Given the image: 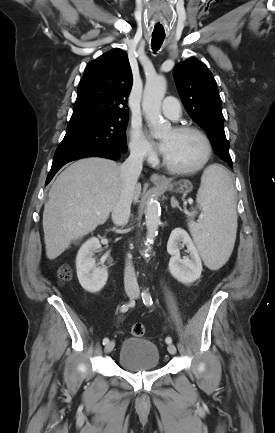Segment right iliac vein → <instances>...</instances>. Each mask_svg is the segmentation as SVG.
<instances>
[{
    "label": "right iliac vein",
    "instance_id": "obj_1",
    "mask_svg": "<svg viewBox=\"0 0 275 433\" xmlns=\"http://www.w3.org/2000/svg\"><path fill=\"white\" fill-rule=\"evenodd\" d=\"M128 295H129V296H133V293H132V292H128ZM114 346H115V342H114V341H110V342H108V343L106 344L105 348H104V352H105L106 354L110 353V352L113 350Z\"/></svg>",
    "mask_w": 275,
    "mask_h": 433
}]
</instances>
